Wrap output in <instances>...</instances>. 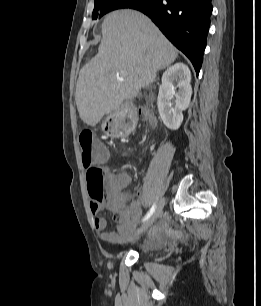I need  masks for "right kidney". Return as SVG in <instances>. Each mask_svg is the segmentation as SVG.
Wrapping results in <instances>:
<instances>
[{
  "label": "right kidney",
  "mask_w": 261,
  "mask_h": 306,
  "mask_svg": "<svg viewBox=\"0 0 261 306\" xmlns=\"http://www.w3.org/2000/svg\"><path fill=\"white\" fill-rule=\"evenodd\" d=\"M190 82V70L183 63H176L169 67L162 76L157 106L163 123L169 129L177 130L183 121L182 112L188 108L192 95ZM174 97L175 105L173 106Z\"/></svg>",
  "instance_id": "obj_1"
}]
</instances>
